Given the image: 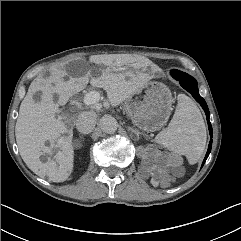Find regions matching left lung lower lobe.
<instances>
[{"instance_id":"0a47b994","label":"left lung lower lobe","mask_w":241,"mask_h":241,"mask_svg":"<svg viewBox=\"0 0 241 241\" xmlns=\"http://www.w3.org/2000/svg\"><path fill=\"white\" fill-rule=\"evenodd\" d=\"M171 75L173 76L174 79H176L180 82V85L184 89H186L189 93L192 94V96L195 98V100L198 103H200V105L204 109L206 116H207V122H208L210 136L212 137V127H211V123L209 121V117H210L209 110H208L205 100L198 93L197 83H196L195 79L192 78L191 76H189L188 74L178 71V70L172 71ZM211 147H212V139L210 140L208 151H207L205 159L203 161V165L210 154Z\"/></svg>"}]
</instances>
